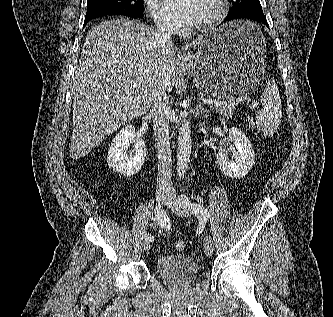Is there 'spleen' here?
<instances>
[{
	"label": "spleen",
	"instance_id": "obj_1",
	"mask_svg": "<svg viewBox=\"0 0 333 317\" xmlns=\"http://www.w3.org/2000/svg\"><path fill=\"white\" fill-rule=\"evenodd\" d=\"M255 28L260 31L256 25ZM260 101L263 107L256 113L257 124L263 132L273 134L277 131L282 117L281 98L274 79L267 82Z\"/></svg>",
	"mask_w": 333,
	"mask_h": 317
}]
</instances>
